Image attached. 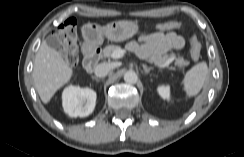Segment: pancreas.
<instances>
[{"label": "pancreas", "instance_id": "cf45deb5", "mask_svg": "<svg viewBox=\"0 0 244 157\" xmlns=\"http://www.w3.org/2000/svg\"><path fill=\"white\" fill-rule=\"evenodd\" d=\"M117 49H121L120 46L117 45H108L103 49V56L104 57H108L110 58L112 53L117 50ZM175 58L176 62L175 64L179 67H185L189 64V61L184 60L183 57H178L176 58L174 54H159V53H152L149 57V61L158 65V66H162L163 64H165L166 62L173 60Z\"/></svg>", "mask_w": 244, "mask_h": 157}]
</instances>
